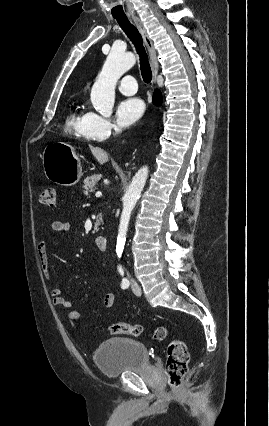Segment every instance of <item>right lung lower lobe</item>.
<instances>
[{"label": "right lung lower lobe", "mask_w": 269, "mask_h": 426, "mask_svg": "<svg viewBox=\"0 0 269 426\" xmlns=\"http://www.w3.org/2000/svg\"><path fill=\"white\" fill-rule=\"evenodd\" d=\"M162 101V97L159 91H155L154 95H153V103L155 105H160Z\"/></svg>", "instance_id": "right-lung-lower-lobe-1"}]
</instances>
